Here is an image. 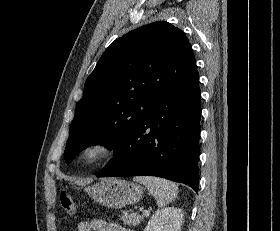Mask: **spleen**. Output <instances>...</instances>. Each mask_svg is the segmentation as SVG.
Segmentation results:
<instances>
[{"instance_id": "1", "label": "spleen", "mask_w": 280, "mask_h": 231, "mask_svg": "<svg viewBox=\"0 0 280 231\" xmlns=\"http://www.w3.org/2000/svg\"><path fill=\"white\" fill-rule=\"evenodd\" d=\"M134 181H139L148 187L150 193L155 197L157 205L163 207L175 199L178 195V187L173 181L169 179H162V177H153V175H137L133 177Z\"/></svg>"}]
</instances>
